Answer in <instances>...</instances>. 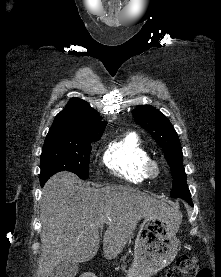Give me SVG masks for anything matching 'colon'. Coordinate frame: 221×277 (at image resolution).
Wrapping results in <instances>:
<instances>
[{
	"mask_svg": "<svg viewBox=\"0 0 221 277\" xmlns=\"http://www.w3.org/2000/svg\"><path fill=\"white\" fill-rule=\"evenodd\" d=\"M207 268H199L194 257L181 255L177 258L176 264L171 267L166 277H211Z\"/></svg>",
	"mask_w": 221,
	"mask_h": 277,
	"instance_id": "1",
	"label": "colon"
}]
</instances>
